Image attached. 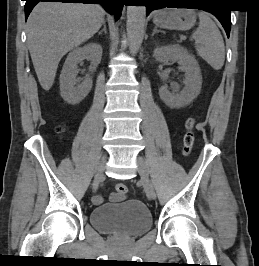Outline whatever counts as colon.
Wrapping results in <instances>:
<instances>
[{
  "label": "colon",
  "mask_w": 259,
  "mask_h": 266,
  "mask_svg": "<svg viewBox=\"0 0 259 266\" xmlns=\"http://www.w3.org/2000/svg\"><path fill=\"white\" fill-rule=\"evenodd\" d=\"M195 125V120L193 118H189L186 123H185V133L183 136V154L184 155H189L193 145H194V133H193V128ZM115 191L119 195H126L128 189L127 186L123 183H117L115 186Z\"/></svg>",
  "instance_id": "5ec220e1"
}]
</instances>
